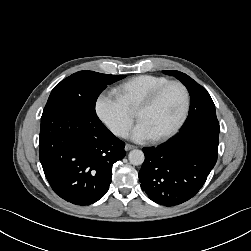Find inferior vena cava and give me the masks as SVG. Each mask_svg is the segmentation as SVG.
Masks as SVG:
<instances>
[{
  "label": "inferior vena cava",
  "instance_id": "obj_1",
  "mask_svg": "<svg viewBox=\"0 0 251 251\" xmlns=\"http://www.w3.org/2000/svg\"><path fill=\"white\" fill-rule=\"evenodd\" d=\"M115 134L118 136H126L127 130L123 129V128H118V129H116Z\"/></svg>",
  "mask_w": 251,
  "mask_h": 251
}]
</instances>
